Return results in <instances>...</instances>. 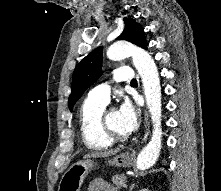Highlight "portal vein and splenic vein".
I'll return each mask as SVG.
<instances>
[{
  "mask_svg": "<svg viewBox=\"0 0 221 191\" xmlns=\"http://www.w3.org/2000/svg\"><path fill=\"white\" fill-rule=\"evenodd\" d=\"M124 187H127V185H126V184H124Z\"/></svg>",
  "mask_w": 221,
  "mask_h": 191,
  "instance_id": "obj_1",
  "label": "portal vein and splenic vein"
}]
</instances>
